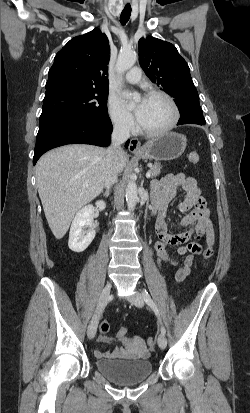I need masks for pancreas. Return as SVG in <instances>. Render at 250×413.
Listing matches in <instances>:
<instances>
[{"instance_id":"cf45deb5","label":"pancreas","mask_w":250,"mask_h":413,"mask_svg":"<svg viewBox=\"0 0 250 413\" xmlns=\"http://www.w3.org/2000/svg\"><path fill=\"white\" fill-rule=\"evenodd\" d=\"M162 166L160 163H155L150 167L149 172L151 173L152 177H156L160 174Z\"/></svg>"}]
</instances>
